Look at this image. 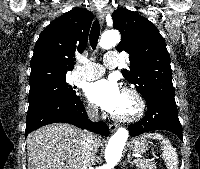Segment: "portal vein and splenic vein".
I'll return each instance as SVG.
<instances>
[{
  "label": "portal vein and splenic vein",
  "instance_id": "portal-vein-and-splenic-vein-1",
  "mask_svg": "<svg viewBox=\"0 0 200 169\" xmlns=\"http://www.w3.org/2000/svg\"><path fill=\"white\" fill-rule=\"evenodd\" d=\"M140 157H141V156H137V160H140Z\"/></svg>",
  "mask_w": 200,
  "mask_h": 169
}]
</instances>
